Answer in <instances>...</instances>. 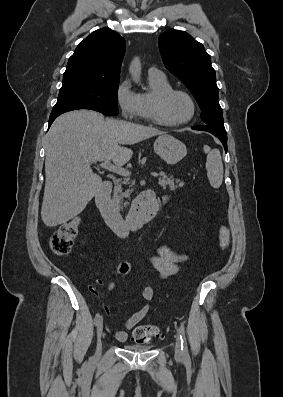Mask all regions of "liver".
Returning a JSON list of instances; mask_svg holds the SVG:
<instances>
[{"instance_id": "6515ba94", "label": "liver", "mask_w": 283, "mask_h": 397, "mask_svg": "<svg viewBox=\"0 0 283 397\" xmlns=\"http://www.w3.org/2000/svg\"><path fill=\"white\" fill-rule=\"evenodd\" d=\"M164 133L122 120H105L93 110H76L59 116L46 143L45 189L41 217L48 227L66 223L80 214L102 184L93 172L94 160H111L117 166L130 161L131 145Z\"/></svg>"}]
</instances>
